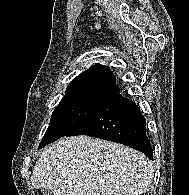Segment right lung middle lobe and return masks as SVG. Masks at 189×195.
<instances>
[{"instance_id": "obj_1", "label": "right lung middle lobe", "mask_w": 189, "mask_h": 195, "mask_svg": "<svg viewBox=\"0 0 189 195\" xmlns=\"http://www.w3.org/2000/svg\"><path fill=\"white\" fill-rule=\"evenodd\" d=\"M108 96L86 91L66 92L52 114L39 148L78 129Z\"/></svg>"}]
</instances>
